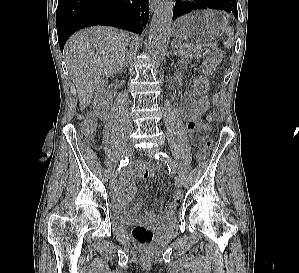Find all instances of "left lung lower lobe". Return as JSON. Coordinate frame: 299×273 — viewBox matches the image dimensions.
Wrapping results in <instances>:
<instances>
[{
    "mask_svg": "<svg viewBox=\"0 0 299 273\" xmlns=\"http://www.w3.org/2000/svg\"><path fill=\"white\" fill-rule=\"evenodd\" d=\"M207 8L232 12L238 18L236 0H179L175 4L173 20L193 10Z\"/></svg>",
    "mask_w": 299,
    "mask_h": 273,
    "instance_id": "left-lung-lower-lobe-1",
    "label": "left lung lower lobe"
}]
</instances>
